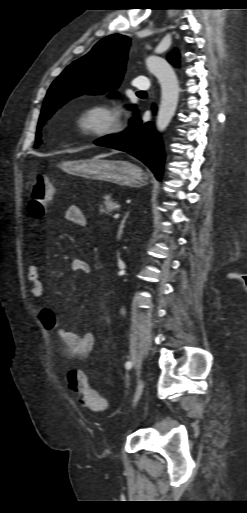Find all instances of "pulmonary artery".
<instances>
[{
  "label": "pulmonary artery",
  "instance_id": "pulmonary-artery-1",
  "mask_svg": "<svg viewBox=\"0 0 247 513\" xmlns=\"http://www.w3.org/2000/svg\"><path fill=\"white\" fill-rule=\"evenodd\" d=\"M134 86L137 90H147L150 84L145 77H139L136 79Z\"/></svg>",
  "mask_w": 247,
  "mask_h": 513
}]
</instances>
